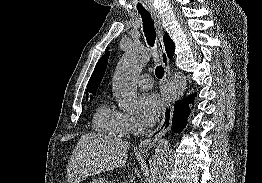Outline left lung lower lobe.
I'll return each instance as SVG.
<instances>
[{
	"label": "left lung lower lobe",
	"instance_id": "obj_1",
	"mask_svg": "<svg viewBox=\"0 0 262 183\" xmlns=\"http://www.w3.org/2000/svg\"><path fill=\"white\" fill-rule=\"evenodd\" d=\"M195 95L185 98L184 100H179L175 103L174 114L172 120V130L175 132H180L186 123V118L189 115L190 108L188 106L194 99Z\"/></svg>",
	"mask_w": 262,
	"mask_h": 183
}]
</instances>
